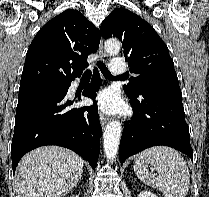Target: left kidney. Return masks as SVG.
I'll list each match as a JSON object with an SVG mask.
<instances>
[{
	"instance_id": "obj_1",
	"label": "left kidney",
	"mask_w": 209,
	"mask_h": 197,
	"mask_svg": "<svg viewBox=\"0 0 209 197\" xmlns=\"http://www.w3.org/2000/svg\"><path fill=\"white\" fill-rule=\"evenodd\" d=\"M138 197H158V196L146 190V191L140 192Z\"/></svg>"
}]
</instances>
